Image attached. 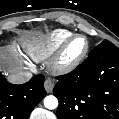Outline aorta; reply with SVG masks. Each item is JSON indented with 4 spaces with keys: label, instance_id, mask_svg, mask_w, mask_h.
I'll return each mask as SVG.
<instances>
[{
    "label": "aorta",
    "instance_id": "762f6f07",
    "mask_svg": "<svg viewBox=\"0 0 119 119\" xmlns=\"http://www.w3.org/2000/svg\"><path fill=\"white\" fill-rule=\"evenodd\" d=\"M44 106L47 109L53 110L58 106V100L55 96L49 95L44 98Z\"/></svg>",
    "mask_w": 119,
    "mask_h": 119
}]
</instances>
